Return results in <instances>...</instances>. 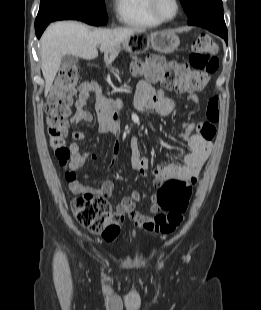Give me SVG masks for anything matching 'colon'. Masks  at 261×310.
Segmentation results:
<instances>
[{
    "label": "colon",
    "instance_id": "colon-1",
    "mask_svg": "<svg viewBox=\"0 0 261 310\" xmlns=\"http://www.w3.org/2000/svg\"><path fill=\"white\" fill-rule=\"evenodd\" d=\"M216 52L217 45L212 37L202 34L193 44L189 65L150 55L144 61L135 64L134 71L150 81L160 83L167 90L178 93L197 92L206 87L209 75L218 67ZM79 76L77 66H62L46 107L49 144L62 166L67 164L71 154L66 145V137ZM218 120V99L213 97L206 108V120L196 127L198 133L206 139H213L216 134L215 123ZM75 178L73 172L66 173L68 181ZM192 185L191 182L180 178L167 179L154 198V203L165 213L158 214L145 228L162 234L177 230L184 221ZM71 208L82 227L101 235L107 241L118 238L124 217L111 211V206L104 196L84 193L72 200Z\"/></svg>",
    "mask_w": 261,
    "mask_h": 310
}]
</instances>
